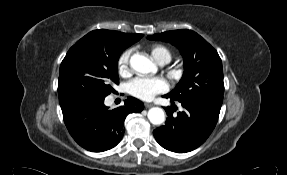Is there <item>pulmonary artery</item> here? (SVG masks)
<instances>
[{"label":"pulmonary artery","instance_id":"1","mask_svg":"<svg viewBox=\"0 0 287 175\" xmlns=\"http://www.w3.org/2000/svg\"><path fill=\"white\" fill-rule=\"evenodd\" d=\"M166 62H161V64H165Z\"/></svg>","mask_w":287,"mask_h":175}]
</instances>
